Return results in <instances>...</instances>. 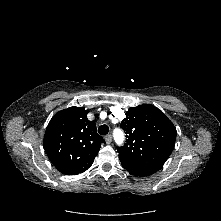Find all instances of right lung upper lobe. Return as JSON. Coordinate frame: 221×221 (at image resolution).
<instances>
[{
  "label": "right lung upper lobe",
  "mask_w": 221,
  "mask_h": 221,
  "mask_svg": "<svg viewBox=\"0 0 221 221\" xmlns=\"http://www.w3.org/2000/svg\"><path fill=\"white\" fill-rule=\"evenodd\" d=\"M88 110L70 107L55 114L44 136L45 151L56 167L66 175L86 171L105 140L96 132V124L87 119Z\"/></svg>",
  "instance_id": "right-lung-upper-lobe-1"
}]
</instances>
